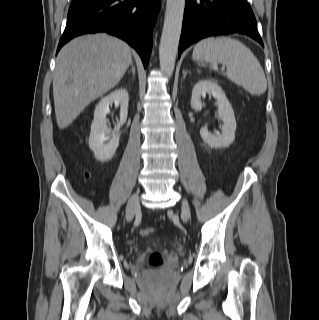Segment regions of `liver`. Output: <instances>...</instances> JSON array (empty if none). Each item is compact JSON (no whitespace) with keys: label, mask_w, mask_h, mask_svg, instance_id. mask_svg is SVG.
I'll use <instances>...</instances> for the list:
<instances>
[{"label":"liver","mask_w":319,"mask_h":320,"mask_svg":"<svg viewBox=\"0 0 319 320\" xmlns=\"http://www.w3.org/2000/svg\"><path fill=\"white\" fill-rule=\"evenodd\" d=\"M131 62L129 45L105 33L67 43L57 56L53 76L58 127H68L86 106L115 87Z\"/></svg>","instance_id":"6515ba94"}]
</instances>
